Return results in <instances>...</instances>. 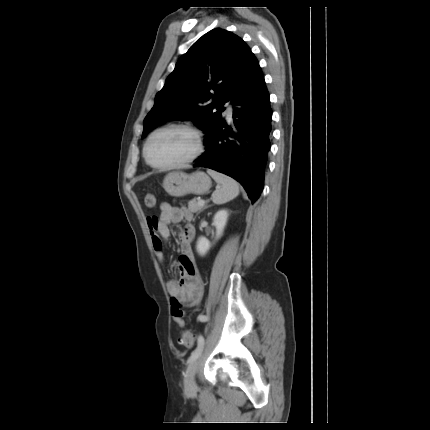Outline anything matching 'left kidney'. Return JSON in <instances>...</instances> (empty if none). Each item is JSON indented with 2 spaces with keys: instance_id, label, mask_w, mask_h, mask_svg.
<instances>
[{
  "instance_id": "left-kidney-1",
  "label": "left kidney",
  "mask_w": 430,
  "mask_h": 430,
  "mask_svg": "<svg viewBox=\"0 0 430 430\" xmlns=\"http://www.w3.org/2000/svg\"><path fill=\"white\" fill-rule=\"evenodd\" d=\"M227 219H228V212L226 210H220L215 214L213 218V225L216 228V234H215L216 240H218L223 235L224 228L227 223ZM210 247H211V243L207 238L203 236H200L198 238L196 249L199 255L204 256L209 251Z\"/></svg>"
}]
</instances>
